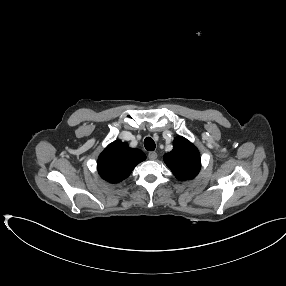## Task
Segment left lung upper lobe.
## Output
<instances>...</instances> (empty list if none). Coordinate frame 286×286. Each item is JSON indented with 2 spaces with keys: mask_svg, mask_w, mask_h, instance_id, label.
Returning <instances> with one entry per match:
<instances>
[{
  "mask_svg": "<svg viewBox=\"0 0 286 286\" xmlns=\"http://www.w3.org/2000/svg\"><path fill=\"white\" fill-rule=\"evenodd\" d=\"M164 162L179 180L193 179L201 167L199 151L182 136L174 139L173 150L164 155Z\"/></svg>",
  "mask_w": 286,
  "mask_h": 286,
  "instance_id": "5c2ea615",
  "label": "left lung upper lobe"
}]
</instances>
